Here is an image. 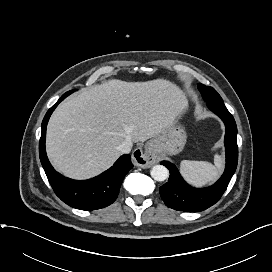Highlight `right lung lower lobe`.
<instances>
[{
	"label": "right lung lower lobe",
	"mask_w": 272,
	"mask_h": 272,
	"mask_svg": "<svg viewBox=\"0 0 272 272\" xmlns=\"http://www.w3.org/2000/svg\"><path fill=\"white\" fill-rule=\"evenodd\" d=\"M62 100L63 98H60L48 110L42 122L39 157L44 171L55 194L69 206L80 210L106 207L115 201L125 175L133 167L130 155L121 156L111 168L89 180L76 181L56 172L46 155L45 138L48 120Z\"/></svg>",
	"instance_id": "obj_1"
}]
</instances>
